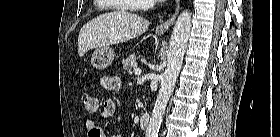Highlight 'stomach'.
Masks as SVG:
<instances>
[{
    "mask_svg": "<svg viewBox=\"0 0 280 137\" xmlns=\"http://www.w3.org/2000/svg\"><path fill=\"white\" fill-rule=\"evenodd\" d=\"M114 57V50L111 47H100L94 51L91 64L96 69H105L112 64Z\"/></svg>",
    "mask_w": 280,
    "mask_h": 137,
    "instance_id": "1",
    "label": "stomach"
}]
</instances>
